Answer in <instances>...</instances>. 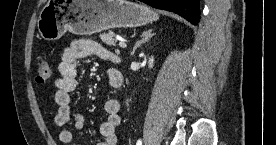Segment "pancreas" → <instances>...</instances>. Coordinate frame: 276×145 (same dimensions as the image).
Here are the masks:
<instances>
[{"mask_svg":"<svg viewBox=\"0 0 276 145\" xmlns=\"http://www.w3.org/2000/svg\"><path fill=\"white\" fill-rule=\"evenodd\" d=\"M100 39L108 46H116L115 34L112 31L101 34Z\"/></svg>","mask_w":276,"mask_h":145,"instance_id":"pancreas-1","label":"pancreas"}]
</instances>
